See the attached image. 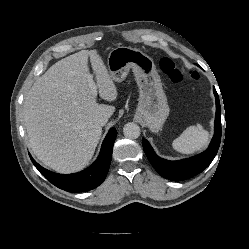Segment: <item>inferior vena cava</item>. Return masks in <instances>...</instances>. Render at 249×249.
<instances>
[{"label": "inferior vena cava", "instance_id": "obj_1", "mask_svg": "<svg viewBox=\"0 0 249 249\" xmlns=\"http://www.w3.org/2000/svg\"><path fill=\"white\" fill-rule=\"evenodd\" d=\"M108 121V117L106 116H102L100 118L97 119V123L100 125V126H104Z\"/></svg>", "mask_w": 249, "mask_h": 249}]
</instances>
